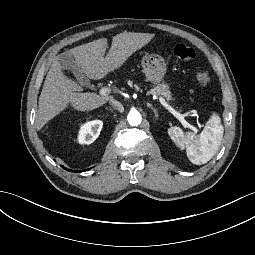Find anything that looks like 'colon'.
<instances>
[{
	"instance_id": "5ec220e1",
	"label": "colon",
	"mask_w": 255,
	"mask_h": 255,
	"mask_svg": "<svg viewBox=\"0 0 255 255\" xmlns=\"http://www.w3.org/2000/svg\"><path fill=\"white\" fill-rule=\"evenodd\" d=\"M175 56L182 61H192L196 64V78L201 86H206L209 83V72L201 67L195 50L187 45L179 44L174 48Z\"/></svg>"
}]
</instances>
